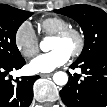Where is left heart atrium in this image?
I'll return each instance as SVG.
<instances>
[{
  "label": "left heart atrium",
  "instance_id": "1",
  "mask_svg": "<svg viewBox=\"0 0 107 107\" xmlns=\"http://www.w3.org/2000/svg\"><path fill=\"white\" fill-rule=\"evenodd\" d=\"M69 58V52L58 48L34 58L30 63V67L36 73H48L64 65Z\"/></svg>",
  "mask_w": 107,
  "mask_h": 107
}]
</instances>
